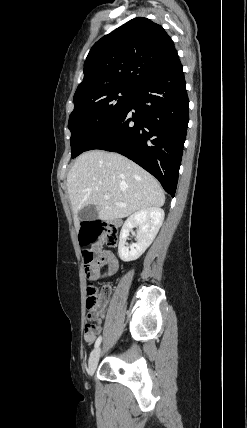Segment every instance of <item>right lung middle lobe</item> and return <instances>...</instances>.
Segmentation results:
<instances>
[{"label":"right lung middle lobe","mask_w":247,"mask_h":428,"mask_svg":"<svg viewBox=\"0 0 247 428\" xmlns=\"http://www.w3.org/2000/svg\"><path fill=\"white\" fill-rule=\"evenodd\" d=\"M137 89L116 86L87 92L74 98L69 117L71 157L86 151L127 108Z\"/></svg>","instance_id":"obj_1"}]
</instances>
